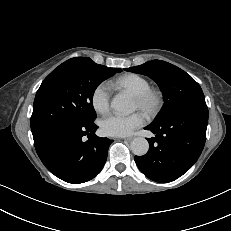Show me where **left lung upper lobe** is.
I'll use <instances>...</instances> for the list:
<instances>
[{
    "label": "left lung upper lobe",
    "mask_w": 231,
    "mask_h": 231,
    "mask_svg": "<svg viewBox=\"0 0 231 231\" xmlns=\"http://www.w3.org/2000/svg\"><path fill=\"white\" fill-rule=\"evenodd\" d=\"M126 71L143 74L153 79L164 96V105L152 122L160 123L173 114L193 106H206L200 85L185 71L161 60L126 68Z\"/></svg>",
    "instance_id": "1"
}]
</instances>
